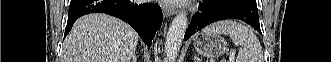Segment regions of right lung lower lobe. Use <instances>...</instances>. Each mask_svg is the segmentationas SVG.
<instances>
[{
	"label": "right lung lower lobe",
	"mask_w": 331,
	"mask_h": 62,
	"mask_svg": "<svg viewBox=\"0 0 331 62\" xmlns=\"http://www.w3.org/2000/svg\"><path fill=\"white\" fill-rule=\"evenodd\" d=\"M89 13H105L122 19L137 31L149 48L163 20L158 4H140L134 0H71L64 36L79 17Z\"/></svg>",
	"instance_id": "obj_1"
}]
</instances>
